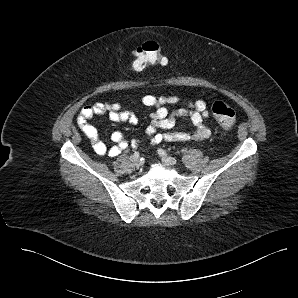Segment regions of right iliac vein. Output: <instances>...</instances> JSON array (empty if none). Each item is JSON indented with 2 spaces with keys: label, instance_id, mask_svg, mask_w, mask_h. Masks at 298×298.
<instances>
[{
  "label": "right iliac vein",
  "instance_id": "63e3f726",
  "mask_svg": "<svg viewBox=\"0 0 298 298\" xmlns=\"http://www.w3.org/2000/svg\"><path fill=\"white\" fill-rule=\"evenodd\" d=\"M130 161L133 165H136L139 162V158L137 156H131Z\"/></svg>",
  "mask_w": 298,
  "mask_h": 298
}]
</instances>
